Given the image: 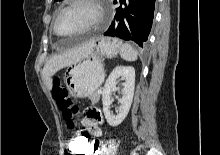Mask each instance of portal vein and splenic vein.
I'll return each instance as SVG.
<instances>
[{"label": "portal vein and splenic vein", "instance_id": "obj_1", "mask_svg": "<svg viewBox=\"0 0 220 155\" xmlns=\"http://www.w3.org/2000/svg\"><path fill=\"white\" fill-rule=\"evenodd\" d=\"M98 93H99V94H101V93H102V91H101V90H98Z\"/></svg>", "mask_w": 220, "mask_h": 155}]
</instances>
